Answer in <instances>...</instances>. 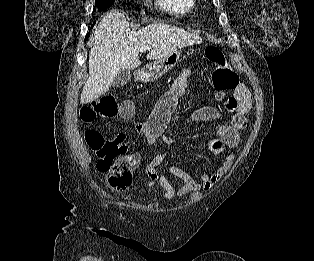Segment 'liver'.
I'll use <instances>...</instances> for the list:
<instances>
[{"mask_svg":"<svg viewBox=\"0 0 314 261\" xmlns=\"http://www.w3.org/2000/svg\"><path fill=\"white\" fill-rule=\"evenodd\" d=\"M201 42L199 36L164 23L150 24L133 32L121 11H108L94 33V45L89 53V77L83 87L80 103L92 102L109 91L121 70L139 67L141 47L149 46L147 58L157 60Z\"/></svg>","mask_w":314,"mask_h":261,"instance_id":"1","label":"liver"}]
</instances>
